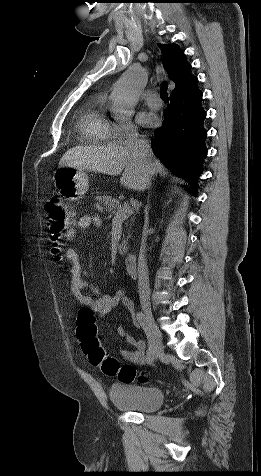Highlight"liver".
I'll list each match as a JSON object with an SVG mask.
<instances>
[{
  "instance_id": "1",
  "label": "liver",
  "mask_w": 261,
  "mask_h": 476,
  "mask_svg": "<svg viewBox=\"0 0 261 476\" xmlns=\"http://www.w3.org/2000/svg\"><path fill=\"white\" fill-rule=\"evenodd\" d=\"M153 174H147L140 160L132 151L122 145L77 146L69 149L60 159L59 168L72 167L87 169L111 176L121 175L120 183L128 189L141 191L145 189L146 178L154 174L166 175L163 164L152 153Z\"/></svg>"
}]
</instances>
